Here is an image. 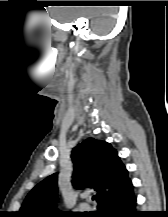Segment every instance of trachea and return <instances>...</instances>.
Returning <instances> with one entry per match:
<instances>
[{
  "label": "trachea",
  "instance_id": "trachea-1",
  "mask_svg": "<svg viewBox=\"0 0 168 217\" xmlns=\"http://www.w3.org/2000/svg\"><path fill=\"white\" fill-rule=\"evenodd\" d=\"M95 199H96V196H93V197H92V200H95Z\"/></svg>",
  "mask_w": 168,
  "mask_h": 217
}]
</instances>
